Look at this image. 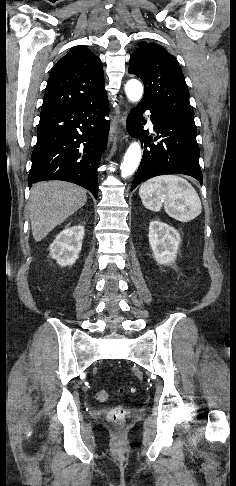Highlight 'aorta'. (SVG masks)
I'll use <instances>...</instances> for the list:
<instances>
[{"label": "aorta", "instance_id": "obj_1", "mask_svg": "<svg viewBox=\"0 0 236 486\" xmlns=\"http://www.w3.org/2000/svg\"><path fill=\"white\" fill-rule=\"evenodd\" d=\"M125 92L130 101L137 102L141 99L143 94L142 84L136 79H131L126 83ZM140 160L141 147L139 143L133 142L128 147L124 160L121 163V176L123 178L131 176L137 169Z\"/></svg>", "mask_w": 236, "mask_h": 486}]
</instances>
